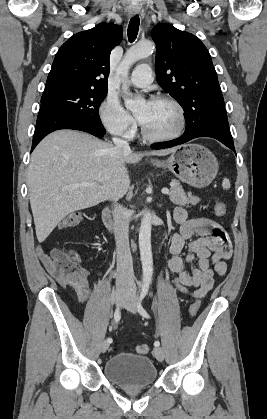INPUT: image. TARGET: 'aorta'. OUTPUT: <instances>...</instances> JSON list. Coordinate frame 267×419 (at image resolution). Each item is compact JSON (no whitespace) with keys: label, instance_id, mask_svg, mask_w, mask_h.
<instances>
[{"label":"aorta","instance_id":"obj_1","mask_svg":"<svg viewBox=\"0 0 267 419\" xmlns=\"http://www.w3.org/2000/svg\"><path fill=\"white\" fill-rule=\"evenodd\" d=\"M154 51V45L151 42H143L131 47L124 55L117 73L123 79V92L125 94L124 103L127 109L134 110L144 103V99L133 97L130 93L125 81L128 77L130 67L138 60L150 56ZM151 212L149 210L143 211V218L139 230V249L142 262L143 271V286L149 287L153 275V258L151 251Z\"/></svg>","mask_w":267,"mask_h":419}]
</instances>
